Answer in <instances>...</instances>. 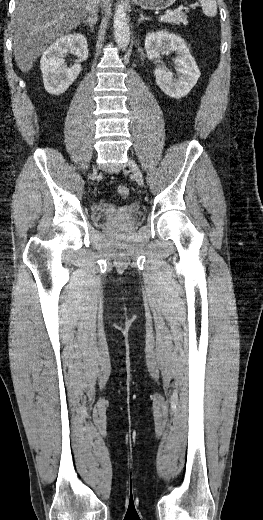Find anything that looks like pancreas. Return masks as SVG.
Returning a JSON list of instances; mask_svg holds the SVG:
<instances>
[{
	"mask_svg": "<svg viewBox=\"0 0 263 520\" xmlns=\"http://www.w3.org/2000/svg\"><path fill=\"white\" fill-rule=\"evenodd\" d=\"M166 23H171L175 25H188V19L185 13L182 10H174L172 11L167 18L163 20Z\"/></svg>",
	"mask_w": 263,
	"mask_h": 520,
	"instance_id": "pancreas-1",
	"label": "pancreas"
}]
</instances>
